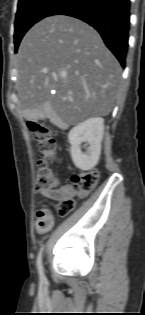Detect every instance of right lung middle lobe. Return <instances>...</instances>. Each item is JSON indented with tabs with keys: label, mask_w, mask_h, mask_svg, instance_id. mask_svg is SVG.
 I'll list each match as a JSON object with an SVG mask.
<instances>
[{
	"label": "right lung middle lobe",
	"mask_w": 145,
	"mask_h": 315,
	"mask_svg": "<svg viewBox=\"0 0 145 315\" xmlns=\"http://www.w3.org/2000/svg\"><path fill=\"white\" fill-rule=\"evenodd\" d=\"M67 0H19L15 19L14 44L17 51L24 34L38 21L51 15Z\"/></svg>",
	"instance_id": "obj_1"
}]
</instances>
